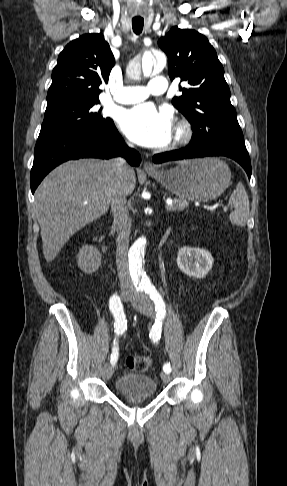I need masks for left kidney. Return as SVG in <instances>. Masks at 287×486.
<instances>
[{
    "mask_svg": "<svg viewBox=\"0 0 287 486\" xmlns=\"http://www.w3.org/2000/svg\"><path fill=\"white\" fill-rule=\"evenodd\" d=\"M214 259L205 249L183 247L177 256V265L180 270L196 279L204 278L212 269Z\"/></svg>",
    "mask_w": 287,
    "mask_h": 486,
    "instance_id": "obj_1",
    "label": "left kidney"
}]
</instances>
